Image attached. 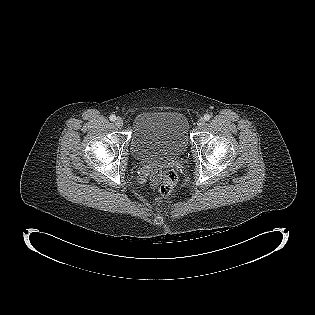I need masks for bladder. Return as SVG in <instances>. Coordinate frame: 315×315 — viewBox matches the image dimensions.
Segmentation results:
<instances>
[{"label": "bladder", "instance_id": "bladder-1", "mask_svg": "<svg viewBox=\"0 0 315 315\" xmlns=\"http://www.w3.org/2000/svg\"><path fill=\"white\" fill-rule=\"evenodd\" d=\"M189 144V123L180 111H144L132 122L130 151L147 163L178 158Z\"/></svg>", "mask_w": 315, "mask_h": 315}]
</instances>
